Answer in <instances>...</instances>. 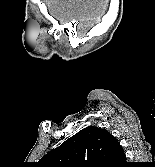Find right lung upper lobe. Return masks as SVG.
Here are the masks:
<instances>
[{"mask_svg":"<svg viewBox=\"0 0 155 167\" xmlns=\"http://www.w3.org/2000/svg\"><path fill=\"white\" fill-rule=\"evenodd\" d=\"M45 167H120L126 161L123 148L105 129H82L42 159Z\"/></svg>","mask_w":155,"mask_h":167,"instance_id":"cb5924a9","label":"right lung upper lobe"}]
</instances>
